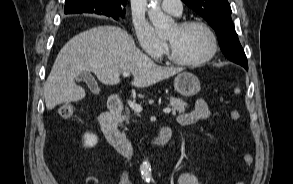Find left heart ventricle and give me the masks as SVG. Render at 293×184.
<instances>
[{"label": "left heart ventricle", "instance_id": "b2bd125f", "mask_svg": "<svg viewBox=\"0 0 293 184\" xmlns=\"http://www.w3.org/2000/svg\"><path fill=\"white\" fill-rule=\"evenodd\" d=\"M174 53L184 60H197L205 56L211 47L207 32L201 27L180 29L176 26L167 36Z\"/></svg>", "mask_w": 293, "mask_h": 184}]
</instances>
